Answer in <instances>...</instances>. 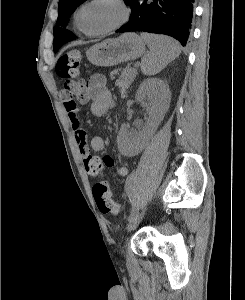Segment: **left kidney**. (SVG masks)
<instances>
[{
    "instance_id": "obj_1",
    "label": "left kidney",
    "mask_w": 245,
    "mask_h": 300,
    "mask_svg": "<svg viewBox=\"0 0 245 300\" xmlns=\"http://www.w3.org/2000/svg\"><path fill=\"white\" fill-rule=\"evenodd\" d=\"M136 100L149 113V122L141 130H129L122 126L118 145L122 153L131 154L140 149L149 136L163 120L169 108L171 93L168 85L159 78H148L143 81L136 93Z\"/></svg>"
}]
</instances>
